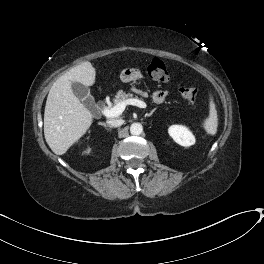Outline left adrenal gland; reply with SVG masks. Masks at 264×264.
<instances>
[{
  "label": "left adrenal gland",
  "instance_id": "a2214340",
  "mask_svg": "<svg viewBox=\"0 0 264 264\" xmlns=\"http://www.w3.org/2000/svg\"><path fill=\"white\" fill-rule=\"evenodd\" d=\"M155 110H156V108H154L150 113L146 114V116H148V117L151 116Z\"/></svg>",
  "mask_w": 264,
  "mask_h": 264
}]
</instances>
